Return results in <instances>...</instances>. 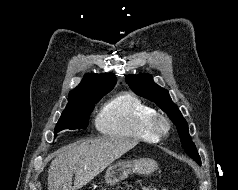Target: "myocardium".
Returning a JSON list of instances; mask_svg holds the SVG:
<instances>
[{"label":"myocardium","mask_w":238,"mask_h":190,"mask_svg":"<svg viewBox=\"0 0 238 190\" xmlns=\"http://www.w3.org/2000/svg\"><path fill=\"white\" fill-rule=\"evenodd\" d=\"M149 126L156 136L161 137L168 133L171 123L165 115L155 112L149 119Z\"/></svg>","instance_id":"myocardium-1"}]
</instances>
